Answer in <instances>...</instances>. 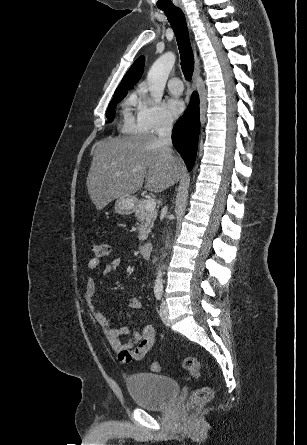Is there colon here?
<instances>
[{
  "mask_svg": "<svg viewBox=\"0 0 307 445\" xmlns=\"http://www.w3.org/2000/svg\"><path fill=\"white\" fill-rule=\"evenodd\" d=\"M92 251L95 255V259L102 261L110 256L111 246L108 243H100L92 245ZM160 364L154 362L152 364V370L155 372L160 371ZM183 368L190 373L193 377H199L201 375V368L198 360L194 357H187L183 361ZM212 389L208 386H202L193 391L189 406L191 408H200L206 405L212 398Z\"/></svg>",
  "mask_w": 307,
  "mask_h": 445,
  "instance_id": "obj_1",
  "label": "colon"
}]
</instances>
